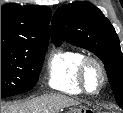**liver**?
Segmentation results:
<instances>
[{"label":"liver","mask_w":123,"mask_h":113,"mask_svg":"<svg viewBox=\"0 0 123 113\" xmlns=\"http://www.w3.org/2000/svg\"><path fill=\"white\" fill-rule=\"evenodd\" d=\"M73 103L72 99L64 96L44 95L11 105L1 104V113H55Z\"/></svg>","instance_id":"liver-1"}]
</instances>
